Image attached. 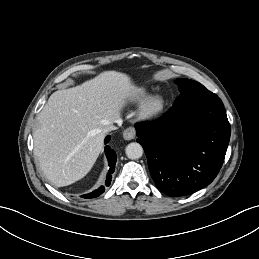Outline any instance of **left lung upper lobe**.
Returning <instances> with one entry per match:
<instances>
[{
	"instance_id": "5c2ea615",
	"label": "left lung upper lobe",
	"mask_w": 259,
	"mask_h": 259,
	"mask_svg": "<svg viewBox=\"0 0 259 259\" xmlns=\"http://www.w3.org/2000/svg\"><path fill=\"white\" fill-rule=\"evenodd\" d=\"M176 84L179 86L180 95L171 109L181 108L194 102L218 97L216 94L207 90L202 84L193 80L178 79Z\"/></svg>"
}]
</instances>
